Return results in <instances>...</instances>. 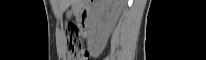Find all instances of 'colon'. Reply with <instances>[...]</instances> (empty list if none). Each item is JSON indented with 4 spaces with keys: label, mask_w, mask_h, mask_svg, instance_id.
I'll return each instance as SVG.
<instances>
[{
    "label": "colon",
    "mask_w": 206,
    "mask_h": 60,
    "mask_svg": "<svg viewBox=\"0 0 206 60\" xmlns=\"http://www.w3.org/2000/svg\"><path fill=\"white\" fill-rule=\"evenodd\" d=\"M67 53L69 60H89V55L83 47V39L76 25L71 24L67 29Z\"/></svg>",
    "instance_id": "5ec220e1"
}]
</instances>
